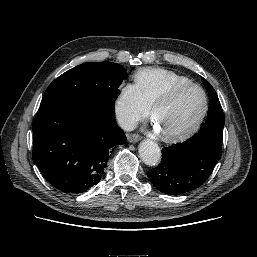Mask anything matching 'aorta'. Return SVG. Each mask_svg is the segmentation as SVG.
Wrapping results in <instances>:
<instances>
[{"label":"aorta","mask_w":257,"mask_h":257,"mask_svg":"<svg viewBox=\"0 0 257 257\" xmlns=\"http://www.w3.org/2000/svg\"><path fill=\"white\" fill-rule=\"evenodd\" d=\"M139 155L141 160L148 166H156L161 160V150L151 140H144L140 143Z\"/></svg>","instance_id":"1"}]
</instances>
